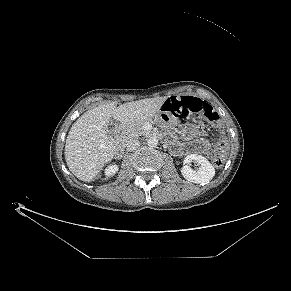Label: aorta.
<instances>
[{"label":"aorta","instance_id":"aorta-1","mask_svg":"<svg viewBox=\"0 0 291 291\" xmlns=\"http://www.w3.org/2000/svg\"><path fill=\"white\" fill-rule=\"evenodd\" d=\"M147 144L150 147H155L158 144V139L155 136H151L147 139Z\"/></svg>","mask_w":291,"mask_h":291}]
</instances>
